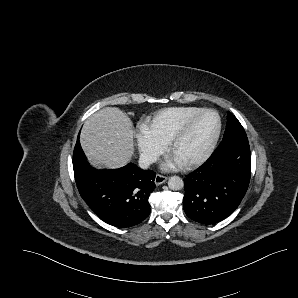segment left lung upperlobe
Segmentation results:
<instances>
[{
    "label": "left lung upper lobe",
    "instance_id": "1",
    "mask_svg": "<svg viewBox=\"0 0 298 298\" xmlns=\"http://www.w3.org/2000/svg\"><path fill=\"white\" fill-rule=\"evenodd\" d=\"M239 133H245L242 125L232 113L228 112L227 125H226V130H225L223 139H226L232 135L239 134Z\"/></svg>",
    "mask_w": 298,
    "mask_h": 298
}]
</instances>
